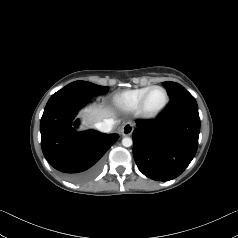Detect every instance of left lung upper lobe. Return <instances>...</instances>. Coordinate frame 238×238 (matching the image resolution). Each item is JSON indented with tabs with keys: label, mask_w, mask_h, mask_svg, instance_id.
<instances>
[{
	"label": "left lung upper lobe",
	"mask_w": 238,
	"mask_h": 238,
	"mask_svg": "<svg viewBox=\"0 0 238 238\" xmlns=\"http://www.w3.org/2000/svg\"><path fill=\"white\" fill-rule=\"evenodd\" d=\"M163 84L167 88L168 94L171 99L177 96L178 94L187 91L182 85L176 82H163Z\"/></svg>",
	"instance_id": "left-lung-upper-lobe-1"
}]
</instances>
